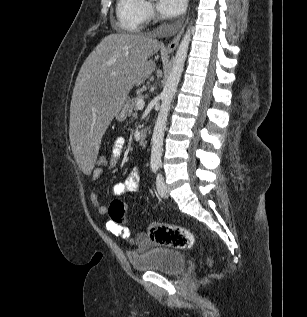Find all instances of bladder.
Instances as JSON below:
<instances>
[{"label": "bladder", "instance_id": "obj_1", "mask_svg": "<svg viewBox=\"0 0 307 317\" xmlns=\"http://www.w3.org/2000/svg\"><path fill=\"white\" fill-rule=\"evenodd\" d=\"M128 260L137 272H158L167 275L179 274L186 265L184 254L164 247L149 249L140 256L128 255Z\"/></svg>", "mask_w": 307, "mask_h": 317}]
</instances>
